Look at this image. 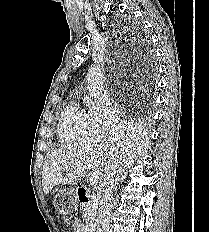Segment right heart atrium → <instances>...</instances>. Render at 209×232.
<instances>
[{
	"label": "right heart atrium",
	"instance_id": "right-heart-atrium-1",
	"mask_svg": "<svg viewBox=\"0 0 209 232\" xmlns=\"http://www.w3.org/2000/svg\"><path fill=\"white\" fill-rule=\"evenodd\" d=\"M88 114L92 129L96 133L107 130L118 120V110L107 96L92 101Z\"/></svg>",
	"mask_w": 209,
	"mask_h": 232
}]
</instances>
